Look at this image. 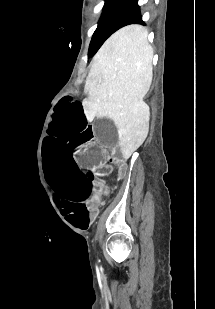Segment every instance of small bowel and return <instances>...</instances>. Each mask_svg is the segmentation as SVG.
<instances>
[{
    "mask_svg": "<svg viewBox=\"0 0 215 309\" xmlns=\"http://www.w3.org/2000/svg\"><path fill=\"white\" fill-rule=\"evenodd\" d=\"M97 187H98L100 190H102V183H101V182H98V183H97Z\"/></svg>",
    "mask_w": 215,
    "mask_h": 309,
    "instance_id": "1",
    "label": "small bowel"
}]
</instances>
